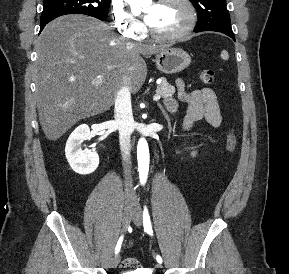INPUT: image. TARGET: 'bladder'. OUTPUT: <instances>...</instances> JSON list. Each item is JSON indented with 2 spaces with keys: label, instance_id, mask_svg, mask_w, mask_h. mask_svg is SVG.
<instances>
[{
  "label": "bladder",
  "instance_id": "obj_1",
  "mask_svg": "<svg viewBox=\"0 0 289 274\" xmlns=\"http://www.w3.org/2000/svg\"><path fill=\"white\" fill-rule=\"evenodd\" d=\"M122 274H146L142 271H125Z\"/></svg>",
  "mask_w": 289,
  "mask_h": 274
}]
</instances>
